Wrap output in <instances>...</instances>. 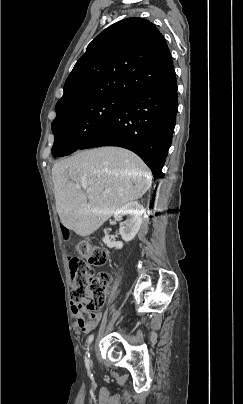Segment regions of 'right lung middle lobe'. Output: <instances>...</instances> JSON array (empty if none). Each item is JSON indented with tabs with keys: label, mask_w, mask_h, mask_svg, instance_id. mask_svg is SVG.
Here are the masks:
<instances>
[{
	"label": "right lung middle lobe",
	"mask_w": 243,
	"mask_h": 404,
	"mask_svg": "<svg viewBox=\"0 0 243 404\" xmlns=\"http://www.w3.org/2000/svg\"><path fill=\"white\" fill-rule=\"evenodd\" d=\"M125 98L107 97L73 107L52 122L55 136L54 157L66 156L78 150L94 136L117 112Z\"/></svg>",
	"instance_id": "1"
}]
</instances>
